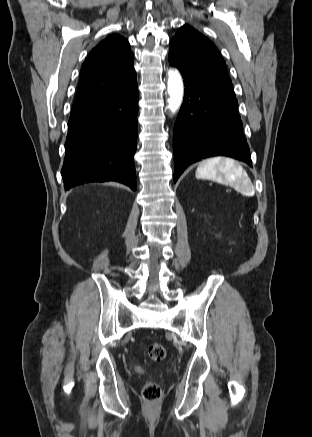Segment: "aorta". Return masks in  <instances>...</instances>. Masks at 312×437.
Masks as SVG:
<instances>
[{
  "label": "aorta",
  "instance_id": "obj_1",
  "mask_svg": "<svg viewBox=\"0 0 312 437\" xmlns=\"http://www.w3.org/2000/svg\"><path fill=\"white\" fill-rule=\"evenodd\" d=\"M167 91L170 96L168 108L172 112H176L183 100V82L177 70L168 72Z\"/></svg>",
  "mask_w": 312,
  "mask_h": 437
}]
</instances>
